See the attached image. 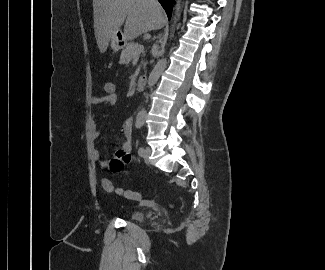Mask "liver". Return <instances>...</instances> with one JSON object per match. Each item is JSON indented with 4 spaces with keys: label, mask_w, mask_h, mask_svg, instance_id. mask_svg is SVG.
I'll return each instance as SVG.
<instances>
[{
    "label": "liver",
    "mask_w": 325,
    "mask_h": 270,
    "mask_svg": "<svg viewBox=\"0 0 325 270\" xmlns=\"http://www.w3.org/2000/svg\"><path fill=\"white\" fill-rule=\"evenodd\" d=\"M93 15L101 53L124 22V36L133 39L163 27L166 21L163 9L155 0H93Z\"/></svg>",
    "instance_id": "6515ba94"
}]
</instances>
